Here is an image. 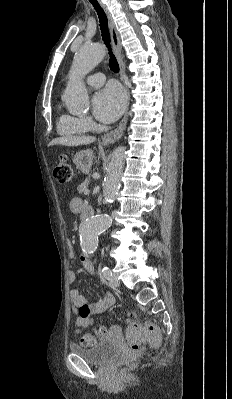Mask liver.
Wrapping results in <instances>:
<instances>
[{"mask_svg":"<svg viewBox=\"0 0 232 399\" xmlns=\"http://www.w3.org/2000/svg\"><path fill=\"white\" fill-rule=\"evenodd\" d=\"M91 142H95V138L73 136V138H55V140L49 142L48 146H56V144H61V146H84V144H91Z\"/></svg>","mask_w":232,"mask_h":399,"instance_id":"1","label":"liver"}]
</instances>
